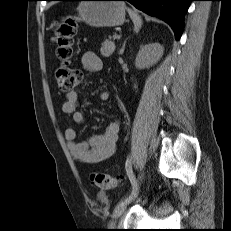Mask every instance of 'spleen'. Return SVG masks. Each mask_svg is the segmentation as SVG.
Masks as SVG:
<instances>
[{
    "label": "spleen",
    "instance_id": "1",
    "mask_svg": "<svg viewBox=\"0 0 231 231\" xmlns=\"http://www.w3.org/2000/svg\"><path fill=\"white\" fill-rule=\"evenodd\" d=\"M129 15H130V18L132 19L133 23H134V30L136 32L139 31V29L141 28L142 26V19L141 17L135 12L133 11L132 9H127Z\"/></svg>",
    "mask_w": 231,
    "mask_h": 231
}]
</instances>
